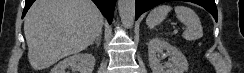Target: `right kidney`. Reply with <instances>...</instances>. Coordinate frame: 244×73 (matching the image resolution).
<instances>
[{"instance_id": "ca27d5eb", "label": "right kidney", "mask_w": 244, "mask_h": 73, "mask_svg": "<svg viewBox=\"0 0 244 73\" xmlns=\"http://www.w3.org/2000/svg\"><path fill=\"white\" fill-rule=\"evenodd\" d=\"M95 66V58L92 54L81 53L70 56L51 69V73H65L69 67L78 69L80 73H92Z\"/></svg>"}]
</instances>
